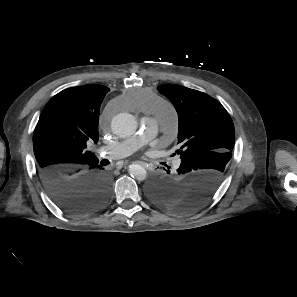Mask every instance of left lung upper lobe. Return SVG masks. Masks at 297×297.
Returning a JSON list of instances; mask_svg holds the SVG:
<instances>
[{
    "mask_svg": "<svg viewBox=\"0 0 297 297\" xmlns=\"http://www.w3.org/2000/svg\"><path fill=\"white\" fill-rule=\"evenodd\" d=\"M174 105L179 116L178 144L185 172L172 178L176 189L170 193L150 194L151 200L167 210H178L199 190L201 176L214 180V188L198 199L197 207L208 201L220 186L232 156L235 130L226 109L209 95L183 87L164 84L157 87Z\"/></svg>",
    "mask_w": 297,
    "mask_h": 297,
    "instance_id": "left-lung-upper-lobe-1",
    "label": "left lung upper lobe"
}]
</instances>
